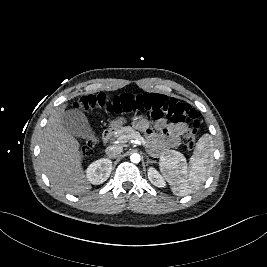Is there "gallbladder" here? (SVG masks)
Segmentation results:
<instances>
[{
	"label": "gallbladder",
	"mask_w": 267,
	"mask_h": 267,
	"mask_svg": "<svg viewBox=\"0 0 267 267\" xmlns=\"http://www.w3.org/2000/svg\"><path fill=\"white\" fill-rule=\"evenodd\" d=\"M62 124L70 134L76 137L91 140L94 143L99 142V138L92 130L87 117L79 110L71 109L63 112Z\"/></svg>",
	"instance_id": "bac80fb5"
}]
</instances>
